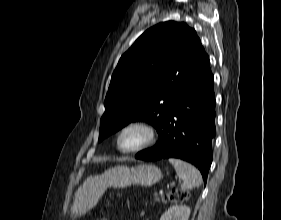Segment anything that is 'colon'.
<instances>
[{"mask_svg":"<svg viewBox=\"0 0 281 220\" xmlns=\"http://www.w3.org/2000/svg\"><path fill=\"white\" fill-rule=\"evenodd\" d=\"M189 197L188 193L183 190H173L167 195V199L172 200V201H184Z\"/></svg>","mask_w":281,"mask_h":220,"instance_id":"obj_1","label":"colon"}]
</instances>
